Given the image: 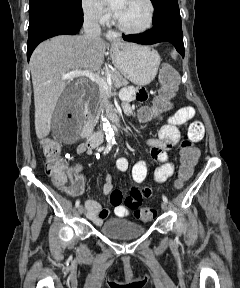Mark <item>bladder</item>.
Returning <instances> with one entry per match:
<instances>
[{
    "mask_svg": "<svg viewBox=\"0 0 240 288\" xmlns=\"http://www.w3.org/2000/svg\"><path fill=\"white\" fill-rule=\"evenodd\" d=\"M146 229L143 225L127 219H113L100 227V232L111 239L126 240L142 236Z\"/></svg>",
    "mask_w": 240,
    "mask_h": 288,
    "instance_id": "1",
    "label": "bladder"
}]
</instances>
